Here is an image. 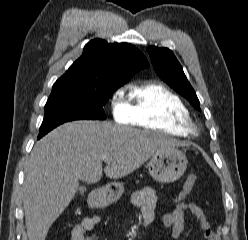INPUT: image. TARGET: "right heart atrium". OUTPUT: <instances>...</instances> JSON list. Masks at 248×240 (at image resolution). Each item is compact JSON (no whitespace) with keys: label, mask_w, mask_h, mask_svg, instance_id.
<instances>
[{"label":"right heart atrium","mask_w":248,"mask_h":240,"mask_svg":"<svg viewBox=\"0 0 248 240\" xmlns=\"http://www.w3.org/2000/svg\"><path fill=\"white\" fill-rule=\"evenodd\" d=\"M110 110L113 118L121 123H129L130 111L128 103L124 99V88L114 90L109 99Z\"/></svg>","instance_id":"right-heart-atrium-1"}]
</instances>
